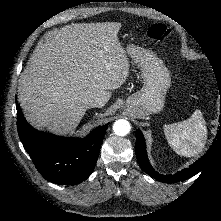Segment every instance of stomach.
Listing matches in <instances>:
<instances>
[{
	"mask_svg": "<svg viewBox=\"0 0 221 221\" xmlns=\"http://www.w3.org/2000/svg\"><path fill=\"white\" fill-rule=\"evenodd\" d=\"M127 53L138 65L143 79V87L127 99V108L144 119L163 109L171 86L170 72L162 60L147 49L130 45Z\"/></svg>",
	"mask_w": 221,
	"mask_h": 221,
	"instance_id": "obj_1",
	"label": "stomach"
}]
</instances>
